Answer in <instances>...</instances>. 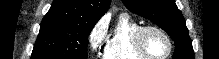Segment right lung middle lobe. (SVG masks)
Returning a JSON list of instances; mask_svg holds the SVG:
<instances>
[{
  "instance_id": "1",
  "label": "right lung middle lobe",
  "mask_w": 219,
  "mask_h": 59,
  "mask_svg": "<svg viewBox=\"0 0 219 59\" xmlns=\"http://www.w3.org/2000/svg\"><path fill=\"white\" fill-rule=\"evenodd\" d=\"M95 23L43 19L31 59H87L88 35Z\"/></svg>"
}]
</instances>
